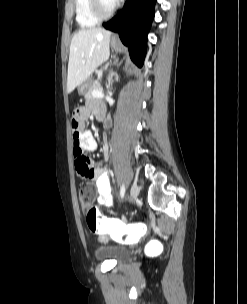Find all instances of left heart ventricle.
I'll return each instance as SVG.
<instances>
[{"label":"left heart ventricle","mask_w":247,"mask_h":304,"mask_svg":"<svg viewBox=\"0 0 247 304\" xmlns=\"http://www.w3.org/2000/svg\"><path fill=\"white\" fill-rule=\"evenodd\" d=\"M115 3L114 0H101L102 7L105 11L111 10Z\"/></svg>","instance_id":"obj_1"}]
</instances>
